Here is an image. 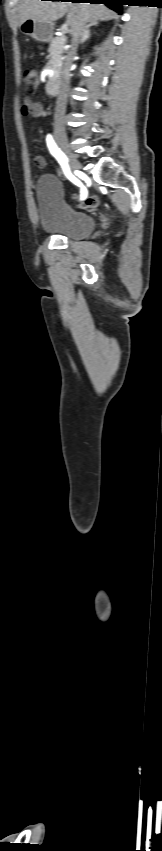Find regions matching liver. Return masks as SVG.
I'll return each mask as SVG.
<instances>
[{"mask_svg": "<svg viewBox=\"0 0 162 851\" xmlns=\"http://www.w3.org/2000/svg\"><path fill=\"white\" fill-rule=\"evenodd\" d=\"M67 14L66 24L70 31L75 27L81 15L87 22L97 23L114 19L117 14L102 4L72 3L61 1L21 0L19 5V25L26 19L43 23H53Z\"/></svg>", "mask_w": 162, "mask_h": 851, "instance_id": "6515ba94", "label": "liver"}]
</instances>
